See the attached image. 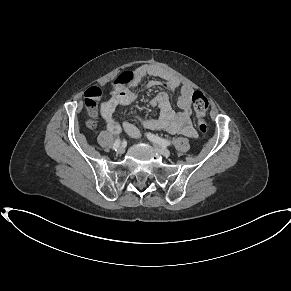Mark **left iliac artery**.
Segmentation results:
<instances>
[{"instance_id": "44dca946", "label": "left iliac artery", "mask_w": 291, "mask_h": 291, "mask_svg": "<svg viewBox=\"0 0 291 291\" xmlns=\"http://www.w3.org/2000/svg\"><path fill=\"white\" fill-rule=\"evenodd\" d=\"M147 137L152 142L157 143V144H159L161 146H164V147H166V146H172V144H171L170 141H168V140H166L164 138H161L158 135H154V134L148 133L147 134Z\"/></svg>"}]
</instances>
